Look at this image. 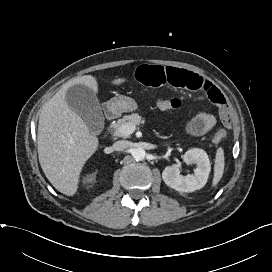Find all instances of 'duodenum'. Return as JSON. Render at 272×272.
I'll return each instance as SVG.
<instances>
[{
    "label": "duodenum",
    "instance_id": "duodenum-1",
    "mask_svg": "<svg viewBox=\"0 0 272 272\" xmlns=\"http://www.w3.org/2000/svg\"><path fill=\"white\" fill-rule=\"evenodd\" d=\"M104 116L107 121H111L115 117V112L111 108H106L104 111Z\"/></svg>",
    "mask_w": 272,
    "mask_h": 272
}]
</instances>
